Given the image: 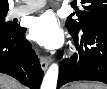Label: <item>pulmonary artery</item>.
Masks as SVG:
<instances>
[{"instance_id":"e3ab8cb5","label":"pulmonary artery","mask_w":107,"mask_h":89,"mask_svg":"<svg viewBox=\"0 0 107 89\" xmlns=\"http://www.w3.org/2000/svg\"><path fill=\"white\" fill-rule=\"evenodd\" d=\"M45 4V0H31L26 5L14 8L10 14L12 17L27 15L43 8Z\"/></svg>"}]
</instances>
